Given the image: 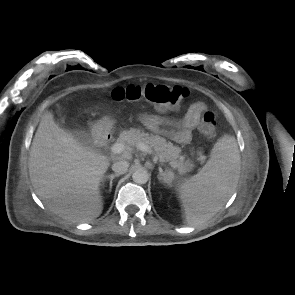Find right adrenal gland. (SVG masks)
Segmentation results:
<instances>
[{"mask_svg": "<svg viewBox=\"0 0 295 295\" xmlns=\"http://www.w3.org/2000/svg\"><path fill=\"white\" fill-rule=\"evenodd\" d=\"M120 175L119 174H111V175H108L106 176L105 178L106 179H109L110 183H109V192H111L112 190V183H113V180L115 177H119Z\"/></svg>", "mask_w": 295, "mask_h": 295, "instance_id": "obj_1", "label": "right adrenal gland"}]
</instances>
